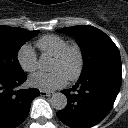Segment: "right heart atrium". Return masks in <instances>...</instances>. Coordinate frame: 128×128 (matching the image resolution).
<instances>
[{"label":"right heart atrium","instance_id":"1","mask_svg":"<svg viewBox=\"0 0 128 128\" xmlns=\"http://www.w3.org/2000/svg\"><path fill=\"white\" fill-rule=\"evenodd\" d=\"M17 60L21 68L26 72H34L38 68L37 55L29 44H24L19 48Z\"/></svg>","mask_w":128,"mask_h":128}]
</instances>
